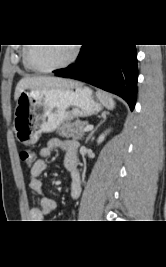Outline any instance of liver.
I'll return each instance as SVG.
<instances>
[{"label":"liver","instance_id":"obj_1","mask_svg":"<svg viewBox=\"0 0 166 267\" xmlns=\"http://www.w3.org/2000/svg\"><path fill=\"white\" fill-rule=\"evenodd\" d=\"M78 85V83L72 80L58 77H24L18 82L15 88L14 99L17 101L21 92L26 89H67L74 88Z\"/></svg>","mask_w":166,"mask_h":267}]
</instances>
